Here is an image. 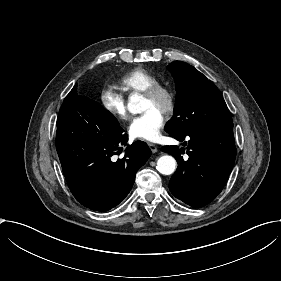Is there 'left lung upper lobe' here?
I'll use <instances>...</instances> for the list:
<instances>
[{"mask_svg": "<svg viewBox=\"0 0 281 281\" xmlns=\"http://www.w3.org/2000/svg\"><path fill=\"white\" fill-rule=\"evenodd\" d=\"M167 68L172 72L177 91L174 116L165 126L170 135L233 124L227 105L213 82L182 61H174Z\"/></svg>", "mask_w": 281, "mask_h": 281, "instance_id": "obj_1", "label": "left lung upper lobe"}]
</instances>
